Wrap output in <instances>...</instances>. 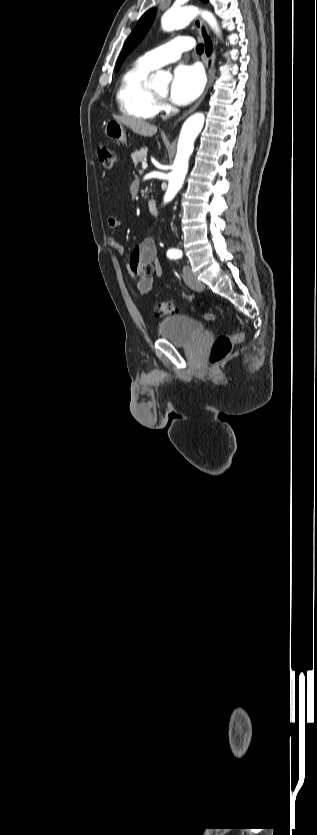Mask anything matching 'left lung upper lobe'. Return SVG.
Here are the masks:
<instances>
[{
    "mask_svg": "<svg viewBox=\"0 0 317 835\" xmlns=\"http://www.w3.org/2000/svg\"><path fill=\"white\" fill-rule=\"evenodd\" d=\"M202 1L206 2L207 0H202ZM155 16H156V9L153 8V9L148 10L140 18V20L138 21L135 29L132 31V33L128 37V39H127V41H126V43H125V45H124V47L121 51V54L119 56V59H118L117 65H116V71L119 70V68H120L121 64L123 63V61L125 60L126 56L140 43V41L146 35V33L148 32L149 28L151 27V25L154 21Z\"/></svg>",
    "mask_w": 317,
    "mask_h": 835,
    "instance_id": "obj_1",
    "label": "left lung upper lobe"
}]
</instances>
